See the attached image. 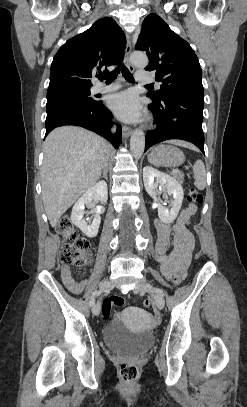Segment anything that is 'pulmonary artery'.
<instances>
[{
    "mask_svg": "<svg viewBox=\"0 0 247 407\" xmlns=\"http://www.w3.org/2000/svg\"><path fill=\"white\" fill-rule=\"evenodd\" d=\"M136 81H138L139 83H152V82H154V77L149 72L138 70L136 72ZM119 87H120V85L117 83L110 84V85H104L102 83H97L94 86V91L97 93H103V92H109V91L116 90Z\"/></svg>",
    "mask_w": 247,
    "mask_h": 407,
    "instance_id": "1",
    "label": "pulmonary artery"
}]
</instances>
